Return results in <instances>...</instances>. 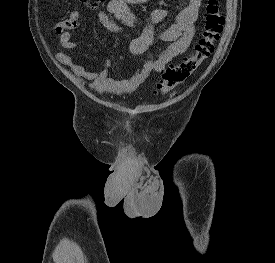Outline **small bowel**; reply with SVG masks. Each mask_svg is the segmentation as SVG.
<instances>
[{
  "mask_svg": "<svg viewBox=\"0 0 275 263\" xmlns=\"http://www.w3.org/2000/svg\"><path fill=\"white\" fill-rule=\"evenodd\" d=\"M146 2L148 0H110L99 13L101 27L110 33L120 35L131 54L146 53L156 39L167 44L158 57L154 58L148 54L146 61L129 77L116 79L110 76L112 61L109 58L105 59L104 68L100 71L87 70L75 63L65 52L56 53V60L68 67L73 75L84 79L90 88L100 94L120 95L138 91L144 81L163 72L176 57L186 52L195 34L202 0H189L179 11L175 22L159 33L156 32V27L168 15V11L163 7H157L152 11L148 23L143 28L137 27V17L131 6ZM80 15V10H74L54 26V33L59 38L60 46L65 50H76L80 47V44L72 39V32L80 27ZM124 25L137 29V35L127 33Z\"/></svg>",
  "mask_w": 275,
  "mask_h": 263,
  "instance_id": "small-bowel-1",
  "label": "small bowel"
}]
</instances>
